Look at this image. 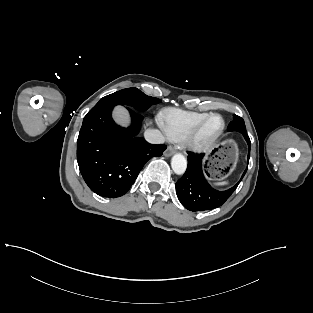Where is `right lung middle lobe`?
I'll list each match as a JSON object with an SVG mask.
<instances>
[{"label":"right lung middle lobe","instance_id":"right-lung-middle-lobe-1","mask_svg":"<svg viewBox=\"0 0 313 313\" xmlns=\"http://www.w3.org/2000/svg\"><path fill=\"white\" fill-rule=\"evenodd\" d=\"M156 103H159L158 98L147 96L137 88H127L101 98L95 106L102 104H121L129 105L137 110L144 111L152 104Z\"/></svg>","mask_w":313,"mask_h":313}]
</instances>
